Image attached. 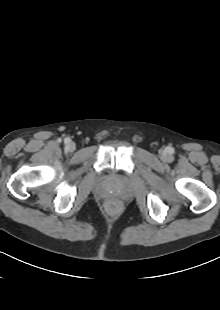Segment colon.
Wrapping results in <instances>:
<instances>
[{
	"mask_svg": "<svg viewBox=\"0 0 220 310\" xmlns=\"http://www.w3.org/2000/svg\"><path fill=\"white\" fill-rule=\"evenodd\" d=\"M107 208L110 210V211H117L119 209V204L117 202H109L107 204Z\"/></svg>",
	"mask_w": 220,
	"mask_h": 310,
	"instance_id": "obj_1",
	"label": "colon"
}]
</instances>
